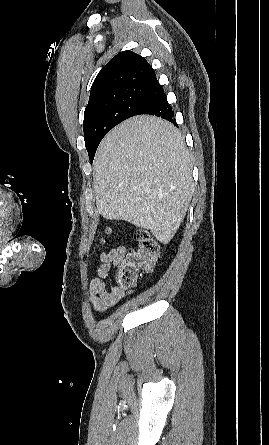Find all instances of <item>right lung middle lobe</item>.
Here are the masks:
<instances>
[{
	"label": "right lung middle lobe",
	"instance_id": "obj_1",
	"mask_svg": "<svg viewBox=\"0 0 269 445\" xmlns=\"http://www.w3.org/2000/svg\"><path fill=\"white\" fill-rule=\"evenodd\" d=\"M159 95L156 87H130L113 90L88 103L84 112V139L90 162L100 141L114 126L137 115Z\"/></svg>",
	"mask_w": 269,
	"mask_h": 445
}]
</instances>
